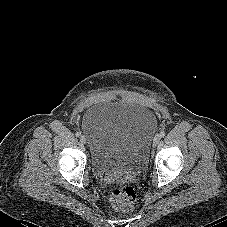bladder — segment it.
Masks as SVG:
<instances>
[{
	"instance_id": "31cf9c89",
	"label": "bladder",
	"mask_w": 227,
	"mask_h": 227,
	"mask_svg": "<svg viewBox=\"0 0 227 227\" xmlns=\"http://www.w3.org/2000/svg\"><path fill=\"white\" fill-rule=\"evenodd\" d=\"M157 119L149 109L131 102L93 105L82 118L93 169L98 174H120L143 169Z\"/></svg>"
}]
</instances>
